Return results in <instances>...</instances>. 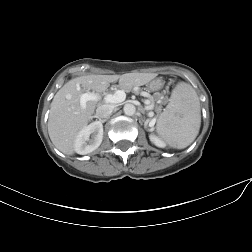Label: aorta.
<instances>
[{"label":"aorta","instance_id":"762f6f07","mask_svg":"<svg viewBox=\"0 0 252 252\" xmlns=\"http://www.w3.org/2000/svg\"><path fill=\"white\" fill-rule=\"evenodd\" d=\"M123 110L127 116H133L136 113V107L130 103L125 104Z\"/></svg>","mask_w":252,"mask_h":252}]
</instances>
